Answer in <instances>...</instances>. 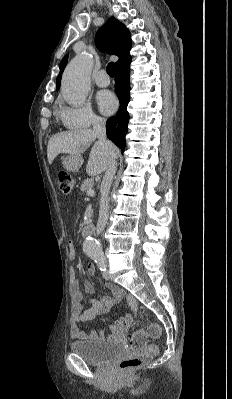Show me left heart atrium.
<instances>
[{
    "mask_svg": "<svg viewBox=\"0 0 232 399\" xmlns=\"http://www.w3.org/2000/svg\"><path fill=\"white\" fill-rule=\"evenodd\" d=\"M98 104L101 112L105 115H111L117 110V101L109 92H104L98 96Z\"/></svg>",
    "mask_w": 232,
    "mask_h": 399,
    "instance_id": "left-heart-atrium-1",
    "label": "left heart atrium"
}]
</instances>
